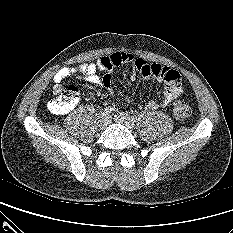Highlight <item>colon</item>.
Segmentation results:
<instances>
[{
    "instance_id": "1",
    "label": "colon",
    "mask_w": 233,
    "mask_h": 233,
    "mask_svg": "<svg viewBox=\"0 0 233 233\" xmlns=\"http://www.w3.org/2000/svg\"><path fill=\"white\" fill-rule=\"evenodd\" d=\"M57 94V97L48 104L51 112L63 115L74 109L78 100V88L76 86L70 85L64 89L60 88ZM172 112L176 119L184 120L190 116L191 107L185 101L178 100L174 103Z\"/></svg>"
}]
</instances>
